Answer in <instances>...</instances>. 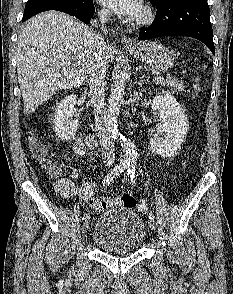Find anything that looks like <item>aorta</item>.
Instances as JSON below:
<instances>
[{"instance_id":"762f6f07","label":"aorta","mask_w":233,"mask_h":294,"mask_svg":"<svg viewBox=\"0 0 233 294\" xmlns=\"http://www.w3.org/2000/svg\"><path fill=\"white\" fill-rule=\"evenodd\" d=\"M125 80L126 73L122 70H118L113 77L107 106V127L112 137L120 143L123 149L124 163L130 167H135L137 162L136 146L131 140L119 132L117 121L124 99Z\"/></svg>"}]
</instances>
